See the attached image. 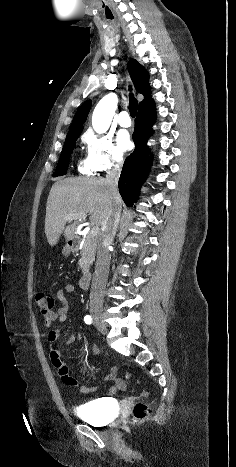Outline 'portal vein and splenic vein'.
I'll list each match as a JSON object with an SVG mask.
<instances>
[{"mask_svg":"<svg viewBox=\"0 0 236 467\" xmlns=\"http://www.w3.org/2000/svg\"><path fill=\"white\" fill-rule=\"evenodd\" d=\"M72 215H68L67 216V219L71 220L72 219ZM99 233V227H92L91 230L89 231V234L93 237V236H96L97 234Z\"/></svg>","mask_w":236,"mask_h":467,"instance_id":"portal-vein-and-splenic-vein-1","label":"portal vein and splenic vein"}]
</instances>
